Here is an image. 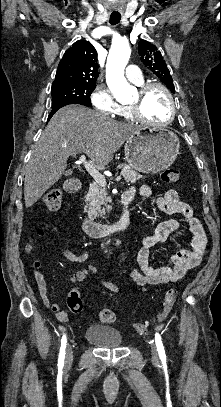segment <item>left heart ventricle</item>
Instances as JSON below:
<instances>
[{
  "label": "left heart ventricle",
  "mask_w": 221,
  "mask_h": 407,
  "mask_svg": "<svg viewBox=\"0 0 221 407\" xmlns=\"http://www.w3.org/2000/svg\"><path fill=\"white\" fill-rule=\"evenodd\" d=\"M138 99V92L134 95L130 104ZM144 116L153 122L166 121L170 114V105L165 93L160 89L150 90L142 101Z\"/></svg>",
  "instance_id": "obj_1"
}]
</instances>
